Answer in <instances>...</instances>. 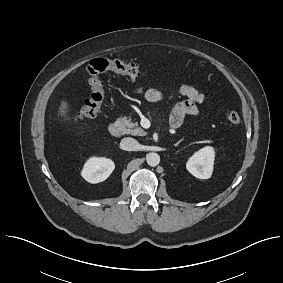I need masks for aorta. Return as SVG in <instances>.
<instances>
[{
	"label": "aorta",
	"instance_id": "aorta-1",
	"mask_svg": "<svg viewBox=\"0 0 283 283\" xmlns=\"http://www.w3.org/2000/svg\"><path fill=\"white\" fill-rule=\"evenodd\" d=\"M146 161H147V164H148L149 166L155 167V166H157V165L159 164V162H160V156H159V154L154 153V152L149 153V154H147V156H146Z\"/></svg>",
	"mask_w": 283,
	"mask_h": 283
}]
</instances>
